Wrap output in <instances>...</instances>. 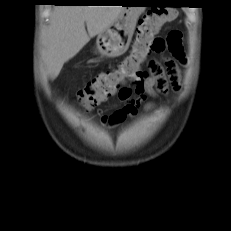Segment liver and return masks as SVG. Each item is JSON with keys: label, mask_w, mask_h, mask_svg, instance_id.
I'll list each match as a JSON object with an SVG mask.
<instances>
[{"label": "liver", "mask_w": 231, "mask_h": 231, "mask_svg": "<svg viewBox=\"0 0 231 231\" xmlns=\"http://www.w3.org/2000/svg\"><path fill=\"white\" fill-rule=\"evenodd\" d=\"M122 6H57L45 35L44 62L56 78L64 63L73 58L90 40L115 22ZM87 25V32L85 29Z\"/></svg>", "instance_id": "obj_1"}]
</instances>
